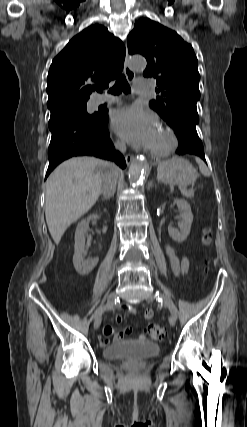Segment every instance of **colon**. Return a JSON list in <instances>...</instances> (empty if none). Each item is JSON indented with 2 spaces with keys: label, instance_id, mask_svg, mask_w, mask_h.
<instances>
[{
  "label": "colon",
  "instance_id": "colon-1",
  "mask_svg": "<svg viewBox=\"0 0 247 427\" xmlns=\"http://www.w3.org/2000/svg\"><path fill=\"white\" fill-rule=\"evenodd\" d=\"M202 240H203L204 244H206V245L209 244V242H210V232H209L208 229L204 230ZM147 335L151 339H153V340H161L164 337V335H165V330L160 325L151 324L147 328Z\"/></svg>",
  "mask_w": 247,
  "mask_h": 427
}]
</instances>
